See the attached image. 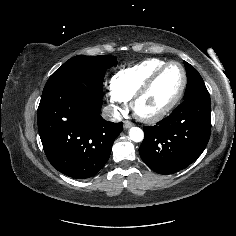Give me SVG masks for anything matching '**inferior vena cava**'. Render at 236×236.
<instances>
[{"label": "inferior vena cava", "mask_w": 236, "mask_h": 236, "mask_svg": "<svg viewBox=\"0 0 236 236\" xmlns=\"http://www.w3.org/2000/svg\"><path fill=\"white\" fill-rule=\"evenodd\" d=\"M119 113L111 107H105L102 112V117L106 120L116 121L119 119Z\"/></svg>", "instance_id": "inferior-vena-cava-1"}]
</instances>
